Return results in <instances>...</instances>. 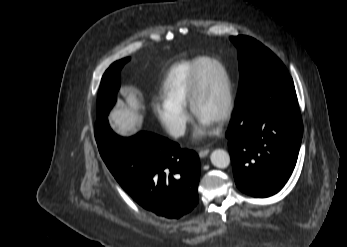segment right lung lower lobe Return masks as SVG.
I'll use <instances>...</instances> for the list:
<instances>
[{"instance_id": "obj_1", "label": "right lung lower lobe", "mask_w": 347, "mask_h": 247, "mask_svg": "<svg viewBox=\"0 0 347 247\" xmlns=\"http://www.w3.org/2000/svg\"><path fill=\"white\" fill-rule=\"evenodd\" d=\"M95 138L105 164L143 208L178 219L197 205L200 162L194 151L154 133L123 138L108 120H97Z\"/></svg>"}]
</instances>
